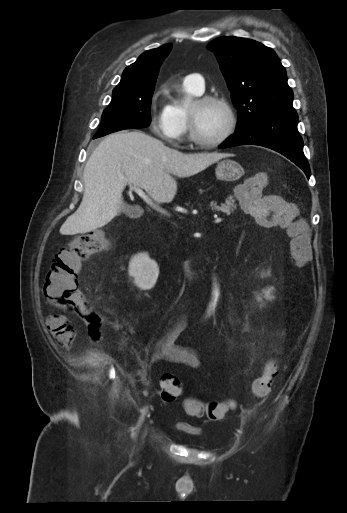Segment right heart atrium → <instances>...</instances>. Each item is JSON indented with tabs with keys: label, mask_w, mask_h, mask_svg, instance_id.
Returning <instances> with one entry per match:
<instances>
[{
	"label": "right heart atrium",
	"mask_w": 347,
	"mask_h": 513,
	"mask_svg": "<svg viewBox=\"0 0 347 513\" xmlns=\"http://www.w3.org/2000/svg\"><path fill=\"white\" fill-rule=\"evenodd\" d=\"M151 129L158 137L175 146L185 134V130L173 119L166 106L153 111Z\"/></svg>",
	"instance_id": "obj_1"
}]
</instances>
